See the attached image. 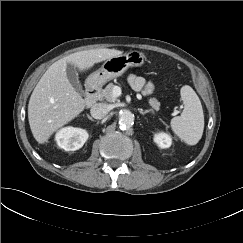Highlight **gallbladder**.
I'll use <instances>...</instances> for the list:
<instances>
[{"label": "gallbladder", "instance_id": "bac80fb5", "mask_svg": "<svg viewBox=\"0 0 243 243\" xmlns=\"http://www.w3.org/2000/svg\"><path fill=\"white\" fill-rule=\"evenodd\" d=\"M66 74H67L69 82L74 87V89L78 93L83 94L84 90H83V88H82V86H81V84L79 82L75 66L70 64V63H68L67 64V68H66Z\"/></svg>", "mask_w": 243, "mask_h": 243}]
</instances>
